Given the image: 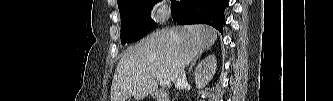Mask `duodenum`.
Returning a JSON list of instances; mask_svg holds the SVG:
<instances>
[{"mask_svg":"<svg viewBox=\"0 0 333 101\" xmlns=\"http://www.w3.org/2000/svg\"><path fill=\"white\" fill-rule=\"evenodd\" d=\"M153 97L156 101H169L168 95L162 90L155 91Z\"/></svg>","mask_w":333,"mask_h":101,"instance_id":"obj_1","label":"duodenum"}]
</instances>
